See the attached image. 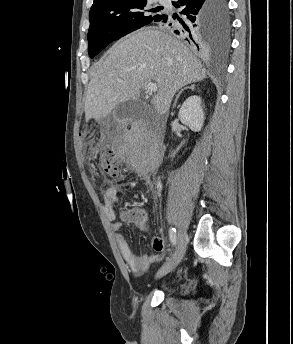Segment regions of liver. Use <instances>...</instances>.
I'll use <instances>...</instances> for the list:
<instances>
[{"label":"liver","mask_w":293,"mask_h":344,"mask_svg":"<svg viewBox=\"0 0 293 344\" xmlns=\"http://www.w3.org/2000/svg\"><path fill=\"white\" fill-rule=\"evenodd\" d=\"M205 78L201 62L182 42L159 29H142L112 47L91 78L86 121H99L118 104L138 100L142 87L150 81L158 88L151 104L159 115L166 114L179 89Z\"/></svg>","instance_id":"6515ba94"}]
</instances>
